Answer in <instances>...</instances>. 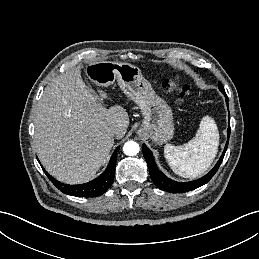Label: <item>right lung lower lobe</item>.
<instances>
[{"instance_id":"right-lung-lower-lobe-1","label":"right lung lower lobe","mask_w":259,"mask_h":259,"mask_svg":"<svg viewBox=\"0 0 259 259\" xmlns=\"http://www.w3.org/2000/svg\"><path fill=\"white\" fill-rule=\"evenodd\" d=\"M119 147H117L111 157V160L106 170L96 179L79 185H68L59 182L48 174L45 169L43 171L49 178V180L63 193L76 197H96L105 193L113 183L116 158Z\"/></svg>"}]
</instances>
